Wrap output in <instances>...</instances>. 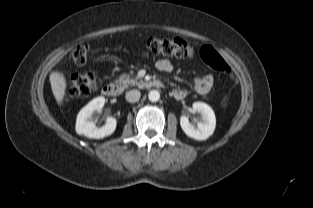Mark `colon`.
<instances>
[{
  "mask_svg": "<svg viewBox=\"0 0 313 208\" xmlns=\"http://www.w3.org/2000/svg\"><path fill=\"white\" fill-rule=\"evenodd\" d=\"M147 48L154 54L189 58L193 55V48L181 39L149 38ZM89 45L79 44L70 52V57L76 65L86 63ZM201 58L214 70L225 73L232 78L231 68L220 54L211 46H204L200 50ZM97 88V74L95 71L78 73L71 77L67 86V99H76L91 95Z\"/></svg>",
  "mask_w": 313,
  "mask_h": 208,
  "instance_id": "colon-1",
  "label": "colon"
}]
</instances>
